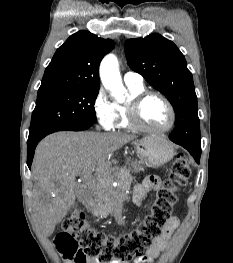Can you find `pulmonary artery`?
<instances>
[{
	"label": "pulmonary artery",
	"mask_w": 233,
	"mask_h": 263,
	"mask_svg": "<svg viewBox=\"0 0 233 263\" xmlns=\"http://www.w3.org/2000/svg\"><path fill=\"white\" fill-rule=\"evenodd\" d=\"M124 82L129 85H143V77L133 71H127L124 74Z\"/></svg>",
	"instance_id": "1"
}]
</instances>
